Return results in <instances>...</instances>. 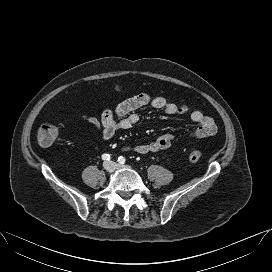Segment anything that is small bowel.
<instances>
[{"label": "small bowel", "instance_id": "obj_1", "mask_svg": "<svg viewBox=\"0 0 272 272\" xmlns=\"http://www.w3.org/2000/svg\"><path fill=\"white\" fill-rule=\"evenodd\" d=\"M153 107L162 110L167 115L182 114L187 115L197 127L189 133L192 138H205L212 136L217 131L214 120L204 115L200 110L191 108L186 103H175L160 96L149 94H138L119 103L114 109L105 110L100 119L83 115V119L94 126L104 140H110L121 130H129L139 121L137 110L142 107ZM175 140L174 134H162L153 141L137 144L132 147V151L138 154L157 153L171 148Z\"/></svg>", "mask_w": 272, "mask_h": 272}]
</instances>
